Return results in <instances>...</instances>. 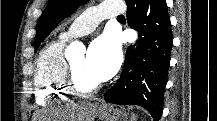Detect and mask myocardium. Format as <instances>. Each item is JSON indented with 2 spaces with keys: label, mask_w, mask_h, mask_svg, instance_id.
<instances>
[{
  "label": "myocardium",
  "mask_w": 217,
  "mask_h": 121,
  "mask_svg": "<svg viewBox=\"0 0 217 121\" xmlns=\"http://www.w3.org/2000/svg\"><path fill=\"white\" fill-rule=\"evenodd\" d=\"M64 85L68 94L76 97L86 98L94 95L101 88V84L97 83L90 87L82 86L75 74L71 62H66L65 73H64Z\"/></svg>",
  "instance_id": "f54148a6"
}]
</instances>
